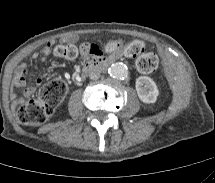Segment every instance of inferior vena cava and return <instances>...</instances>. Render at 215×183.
<instances>
[{
    "label": "inferior vena cava",
    "instance_id": "inferior-vena-cava-1",
    "mask_svg": "<svg viewBox=\"0 0 215 183\" xmlns=\"http://www.w3.org/2000/svg\"><path fill=\"white\" fill-rule=\"evenodd\" d=\"M100 77V73L98 71H91L89 73V78L91 80H97Z\"/></svg>",
    "mask_w": 215,
    "mask_h": 183
}]
</instances>
